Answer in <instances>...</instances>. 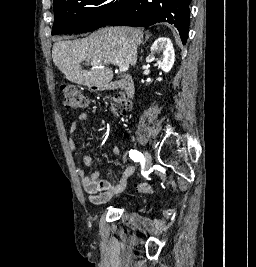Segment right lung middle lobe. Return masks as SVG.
<instances>
[{
	"label": "right lung middle lobe",
	"mask_w": 256,
	"mask_h": 267,
	"mask_svg": "<svg viewBox=\"0 0 256 267\" xmlns=\"http://www.w3.org/2000/svg\"><path fill=\"white\" fill-rule=\"evenodd\" d=\"M132 0H56L52 35L90 32L120 17Z\"/></svg>",
	"instance_id": "1"
}]
</instances>
